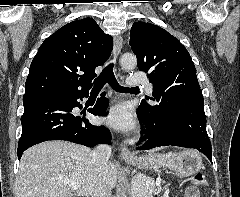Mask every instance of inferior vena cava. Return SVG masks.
<instances>
[{"label":"inferior vena cava","mask_w":240,"mask_h":197,"mask_svg":"<svg viewBox=\"0 0 240 197\" xmlns=\"http://www.w3.org/2000/svg\"><path fill=\"white\" fill-rule=\"evenodd\" d=\"M111 155V147L106 144H100L93 151L92 158L98 167L103 169L107 166ZM92 197H111V191L103 180H98L96 183Z\"/></svg>","instance_id":"1"}]
</instances>
